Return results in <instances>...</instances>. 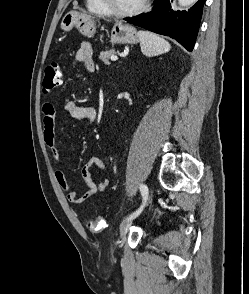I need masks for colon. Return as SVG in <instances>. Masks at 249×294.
Segmentation results:
<instances>
[{
  "instance_id": "1",
  "label": "colon",
  "mask_w": 249,
  "mask_h": 294,
  "mask_svg": "<svg viewBox=\"0 0 249 294\" xmlns=\"http://www.w3.org/2000/svg\"><path fill=\"white\" fill-rule=\"evenodd\" d=\"M62 70L59 62L54 61L50 63L45 69L43 79L44 92H50L61 85ZM87 227L92 231H101L105 227V221L101 217H92L87 220Z\"/></svg>"
}]
</instances>
